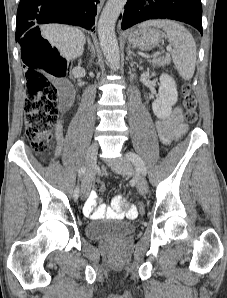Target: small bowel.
<instances>
[{"mask_svg": "<svg viewBox=\"0 0 227 298\" xmlns=\"http://www.w3.org/2000/svg\"><path fill=\"white\" fill-rule=\"evenodd\" d=\"M157 133L163 144L168 145L183 136L187 130L186 124L183 122V115L180 108L173 109L172 114L166 119L156 121ZM56 136L60 141L62 136V126L58 123L56 128ZM84 191V183L82 192ZM83 212L84 215L92 219H101L106 216L123 218L125 216L124 202L121 197L117 196L113 199L111 206L106 204L97 205L98 196L96 191L88 193ZM137 212L135 204H130L126 212L127 216ZM135 216V215H134Z\"/></svg>", "mask_w": 227, "mask_h": 298, "instance_id": "1", "label": "small bowel"}]
</instances>
